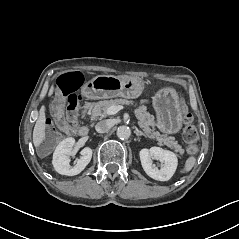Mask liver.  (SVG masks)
<instances>
[{
  "mask_svg": "<svg viewBox=\"0 0 239 239\" xmlns=\"http://www.w3.org/2000/svg\"><path fill=\"white\" fill-rule=\"evenodd\" d=\"M90 74H93L92 72H89ZM54 92V88L51 87L48 92V96H51ZM45 106H41L39 111V117L35 123L34 130H33V143L35 147H38L43 140L45 139Z\"/></svg>",
  "mask_w": 239,
  "mask_h": 239,
  "instance_id": "1",
  "label": "liver"
}]
</instances>
